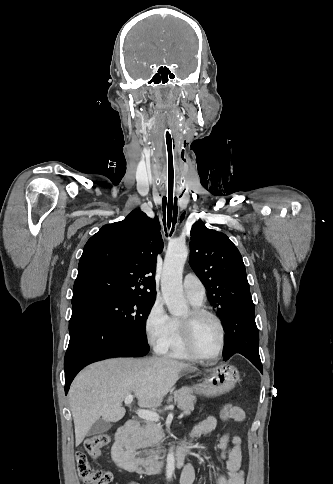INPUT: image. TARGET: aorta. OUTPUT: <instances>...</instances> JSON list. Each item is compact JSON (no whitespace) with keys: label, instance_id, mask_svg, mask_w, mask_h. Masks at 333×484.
Instances as JSON below:
<instances>
[{"label":"aorta","instance_id":"aorta-1","mask_svg":"<svg viewBox=\"0 0 333 484\" xmlns=\"http://www.w3.org/2000/svg\"><path fill=\"white\" fill-rule=\"evenodd\" d=\"M187 256V246L184 243H174L169 246L164 259L161 291L167 309L172 315H181L187 310L182 286V274ZM174 471L175 457L173 451L170 450L166 459L167 480L172 479Z\"/></svg>","mask_w":333,"mask_h":484}]
</instances>
